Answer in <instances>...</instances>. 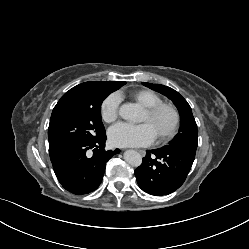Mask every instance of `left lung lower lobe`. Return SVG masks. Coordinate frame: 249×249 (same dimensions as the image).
Returning a JSON list of instances; mask_svg holds the SVG:
<instances>
[{"instance_id": "1", "label": "left lung lower lobe", "mask_w": 249, "mask_h": 249, "mask_svg": "<svg viewBox=\"0 0 249 249\" xmlns=\"http://www.w3.org/2000/svg\"><path fill=\"white\" fill-rule=\"evenodd\" d=\"M196 151L159 148L147 150L142 164L135 170L139 187L152 195L174 192L185 181Z\"/></svg>"}]
</instances>
